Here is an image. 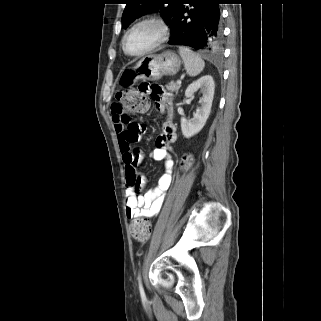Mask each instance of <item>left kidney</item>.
I'll return each instance as SVG.
<instances>
[{"label":"left kidney","mask_w":321,"mask_h":321,"mask_svg":"<svg viewBox=\"0 0 321 321\" xmlns=\"http://www.w3.org/2000/svg\"><path fill=\"white\" fill-rule=\"evenodd\" d=\"M199 89L203 94L199 101L201 107L196 110V113H194L190 121H187L184 117L181 118V130L183 136L186 138H190L200 132L210 115L215 89L213 77L211 75H205L191 83L185 91V96L192 97Z\"/></svg>","instance_id":"left-kidney-1"}]
</instances>
